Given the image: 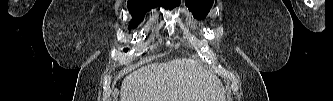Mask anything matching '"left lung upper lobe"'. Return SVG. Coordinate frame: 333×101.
I'll return each instance as SVG.
<instances>
[{
	"label": "left lung upper lobe",
	"instance_id": "obj_1",
	"mask_svg": "<svg viewBox=\"0 0 333 101\" xmlns=\"http://www.w3.org/2000/svg\"><path fill=\"white\" fill-rule=\"evenodd\" d=\"M185 3L195 18L202 19L208 14L213 0H185Z\"/></svg>",
	"mask_w": 333,
	"mask_h": 101
}]
</instances>
